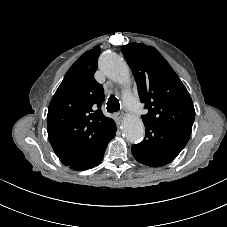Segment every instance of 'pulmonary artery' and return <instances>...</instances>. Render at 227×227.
<instances>
[{
    "label": "pulmonary artery",
    "mask_w": 227,
    "mask_h": 227,
    "mask_svg": "<svg viewBox=\"0 0 227 227\" xmlns=\"http://www.w3.org/2000/svg\"><path fill=\"white\" fill-rule=\"evenodd\" d=\"M126 107L131 112H137L142 110V105L137 100V98L134 95H129L124 98Z\"/></svg>",
    "instance_id": "1"
}]
</instances>
